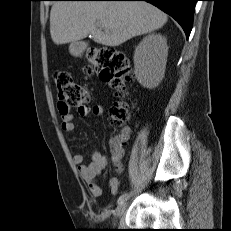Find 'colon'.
Listing matches in <instances>:
<instances>
[{"label":"colon","instance_id":"5ec220e1","mask_svg":"<svg viewBox=\"0 0 231 231\" xmlns=\"http://www.w3.org/2000/svg\"><path fill=\"white\" fill-rule=\"evenodd\" d=\"M89 64L84 68L85 73H98L102 81L108 83L119 97L126 93V83L132 79V71L126 54L114 47H93L87 53ZM58 89L60 109L68 113L73 107L84 106L90 100L87 90L74 81L65 71L54 75ZM111 121L120 124L128 119L129 113L124 102L119 101L111 108Z\"/></svg>","mask_w":231,"mask_h":231}]
</instances>
